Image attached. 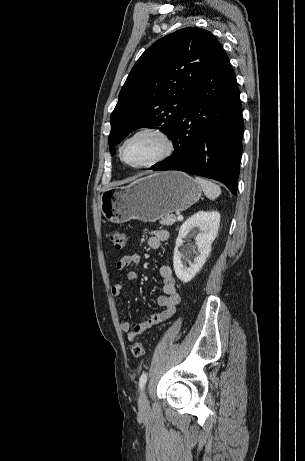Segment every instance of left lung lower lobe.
<instances>
[{
    "instance_id": "obj_1",
    "label": "left lung lower lobe",
    "mask_w": 305,
    "mask_h": 461,
    "mask_svg": "<svg viewBox=\"0 0 305 461\" xmlns=\"http://www.w3.org/2000/svg\"><path fill=\"white\" fill-rule=\"evenodd\" d=\"M243 117L234 71L224 50L194 87L171 140L174 153L150 169L180 170L222 182L237 194Z\"/></svg>"
}]
</instances>
